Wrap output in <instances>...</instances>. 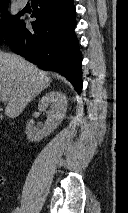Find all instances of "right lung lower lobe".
<instances>
[{"label":"right lung lower lobe","instance_id":"right-lung-lower-lobe-1","mask_svg":"<svg viewBox=\"0 0 128 213\" xmlns=\"http://www.w3.org/2000/svg\"><path fill=\"white\" fill-rule=\"evenodd\" d=\"M32 29L24 22L5 39L10 49L32 62L67 77L78 93L82 90V54L75 35L73 0H32ZM3 43V42H2Z\"/></svg>","mask_w":128,"mask_h":213}]
</instances>
